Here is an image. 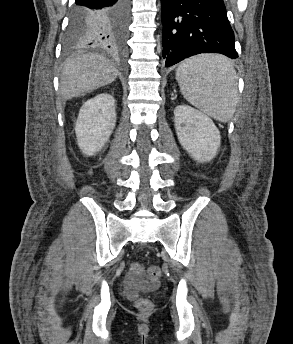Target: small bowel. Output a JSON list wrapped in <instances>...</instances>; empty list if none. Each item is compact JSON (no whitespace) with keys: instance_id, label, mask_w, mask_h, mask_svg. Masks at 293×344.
<instances>
[{"instance_id":"1","label":"small bowel","mask_w":293,"mask_h":344,"mask_svg":"<svg viewBox=\"0 0 293 344\" xmlns=\"http://www.w3.org/2000/svg\"><path fill=\"white\" fill-rule=\"evenodd\" d=\"M123 293L128 298H133L137 293V285L134 279L128 274L125 279Z\"/></svg>"}]
</instances>
